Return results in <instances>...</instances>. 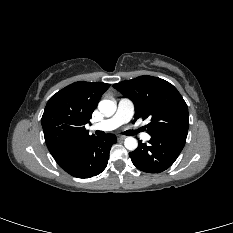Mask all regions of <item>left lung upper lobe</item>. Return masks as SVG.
<instances>
[{"label": "left lung upper lobe", "mask_w": 233, "mask_h": 233, "mask_svg": "<svg viewBox=\"0 0 233 233\" xmlns=\"http://www.w3.org/2000/svg\"><path fill=\"white\" fill-rule=\"evenodd\" d=\"M135 105V120L151 119L147 131L151 137L186 135L189 128L187 104L169 82L140 76L113 85Z\"/></svg>", "instance_id": "5c2ea615"}]
</instances>
